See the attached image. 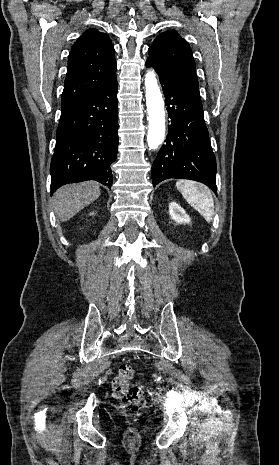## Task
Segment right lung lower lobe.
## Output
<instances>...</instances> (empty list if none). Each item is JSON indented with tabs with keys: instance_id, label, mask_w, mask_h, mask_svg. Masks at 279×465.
I'll return each mask as SVG.
<instances>
[{
	"instance_id": "1",
	"label": "right lung lower lobe",
	"mask_w": 279,
	"mask_h": 465,
	"mask_svg": "<svg viewBox=\"0 0 279 465\" xmlns=\"http://www.w3.org/2000/svg\"><path fill=\"white\" fill-rule=\"evenodd\" d=\"M116 75L88 99L62 113L51 160V193L67 183L112 184L118 148Z\"/></svg>"
}]
</instances>
